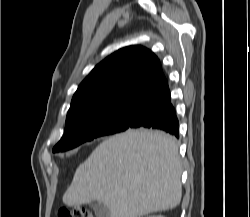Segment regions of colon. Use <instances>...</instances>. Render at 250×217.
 I'll return each mask as SVG.
<instances>
[{
    "label": "colon",
    "mask_w": 250,
    "mask_h": 217,
    "mask_svg": "<svg viewBox=\"0 0 250 217\" xmlns=\"http://www.w3.org/2000/svg\"><path fill=\"white\" fill-rule=\"evenodd\" d=\"M58 217H93L92 214L84 208H66L58 212Z\"/></svg>",
    "instance_id": "1"
}]
</instances>
